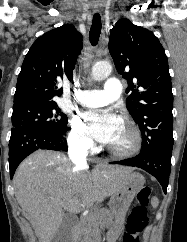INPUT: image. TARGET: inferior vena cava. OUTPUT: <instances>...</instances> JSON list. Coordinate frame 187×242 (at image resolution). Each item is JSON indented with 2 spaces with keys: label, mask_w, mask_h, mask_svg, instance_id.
Masks as SVG:
<instances>
[{
  "label": "inferior vena cava",
  "mask_w": 187,
  "mask_h": 242,
  "mask_svg": "<svg viewBox=\"0 0 187 242\" xmlns=\"http://www.w3.org/2000/svg\"><path fill=\"white\" fill-rule=\"evenodd\" d=\"M68 155L74 165L85 166L87 146L81 143H75L69 148Z\"/></svg>",
  "instance_id": "inferior-vena-cava-1"
}]
</instances>
